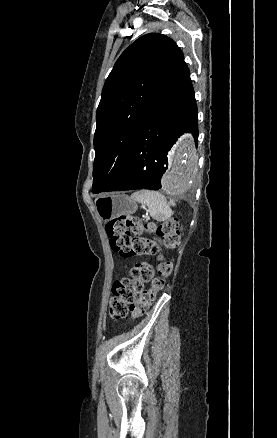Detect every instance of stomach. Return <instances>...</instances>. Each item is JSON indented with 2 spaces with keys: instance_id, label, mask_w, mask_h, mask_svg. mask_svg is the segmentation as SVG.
Here are the masks:
<instances>
[{
  "instance_id": "0dacf381",
  "label": "stomach",
  "mask_w": 277,
  "mask_h": 438,
  "mask_svg": "<svg viewBox=\"0 0 277 438\" xmlns=\"http://www.w3.org/2000/svg\"><path fill=\"white\" fill-rule=\"evenodd\" d=\"M95 208L103 221L136 212V201L124 194H104L95 199Z\"/></svg>"
}]
</instances>
